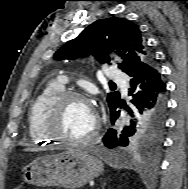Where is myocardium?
Returning a JSON list of instances; mask_svg holds the SVG:
<instances>
[{"label":"myocardium","instance_id":"1","mask_svg":"<svg viewBox=\"0 0 188 189\" xmlns=\"http://www.w3.org/2000/svg\"><path fill=\"white\" fill-rule=\"evenodd\" d=\"M72 101H83L92 105L90 99L77 91H63L49 105L45 114V131L54 140L69 145H83L92 142L98 135L100 122L96 117L93 129L89 134L82 138H70L62 134L59 130L60 119L62 117L65 106Z\"/></svg>","mask_w":188,"mask_h":189}]
</instances>
